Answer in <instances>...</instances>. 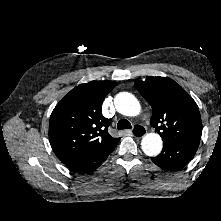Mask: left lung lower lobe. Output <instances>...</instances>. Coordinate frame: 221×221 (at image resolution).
<instances>
[{"mask_svg":"<svg viewBox=\"0 0 221 221\" xmlns=\"http://www.w3.org/2000/svg\"><path fill=\"white\" fill-rule=\"evenodd\" d=\"M200 140L193 139L183 143H164L161 154L151 158L163 170L173 171L184 167L194 157Z\"/></svg>","mask_w":221,"mask_h":221,"instance_id":"1","label":"left lung lower lobe"}]
</instances>
